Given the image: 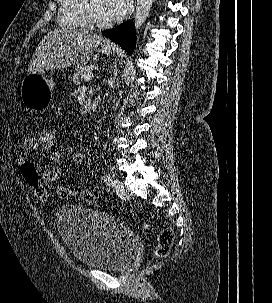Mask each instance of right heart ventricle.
<instances>
[{"label":"right heart ventricle","mask_w":272,"mask_h":303,"mask_svg":"<svg viewBox=\"0 0 272 303\" xmlns=\"http://www.w3.org/2000/svg\"><path fill=\"white\" fill-rule=\"evenodd\" d=\"M84 0H60L58 23L68 28H85L88 22L83 13Z\"/></svg>","instance_id":"right-heart-ventricle-1"}]
</instances>
